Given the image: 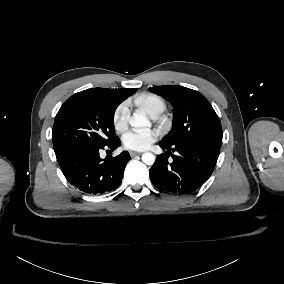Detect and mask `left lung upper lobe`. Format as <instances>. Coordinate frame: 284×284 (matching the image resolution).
Instances as JSON below:
<instances>
[{
  "label": "left lung upper lobe",
  "instance_id": "obj_1",
  "mask_svg": "<svg viewBox=\"0 0 284 284\" xmlns=\"http://www.w3.org/2000/svg\"><path fill=\"white\" fill-rule=\"evenodd\" d=\"M149 91L168 100L174 108L173 127L164 142L169 145L201 142L221 147L222 127L219 117L202 94L175 85L150 87Z\"/></svg>",
  "mask_w": 284,
  "mask_h": 284
}]
</instances>
